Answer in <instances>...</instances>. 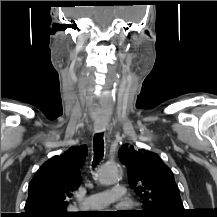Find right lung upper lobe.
<instances>
[{"label": "right lung upper lobe", "instance_id": "right-lung-upper-lobe-1", "mask_svg": "<svg viewBox=\"0 0 217 217\" xmlns=\"http://www.w3.org/2000/svg\"><path fill=\"white\" fill-rule=\"evenodd\" d=\"M87 148L72 146L64 154L54 156L36 172L28 188L23 217H58L71 215L66 208L72 192L80 186L79 167Z\"/></svg>", "mask_w": 217, "mask_h": 217}]
</instances>
